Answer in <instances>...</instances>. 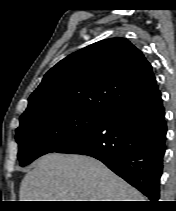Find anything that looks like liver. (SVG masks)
<instances>
[{"label":"liver","mask_w":176,"mask_h":211,"mask_svg":"<svg viewBox=\"0 0 176 211\" xmlns=\"http://www.w3.org/2000/svg\"><path fill=\"white\" fill-rule=\"evenodd\" d=\"M20 201H144L135 188L95 158L49 153L23 178Z\"/></svg>","instance_id":"obj_1"}]
</instances>
